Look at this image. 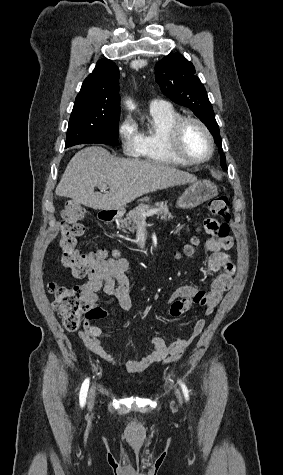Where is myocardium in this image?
I'll list each match as a JSON object with an SVG mask.
<instances>
[{
  "mask_svg": "<svg viewBox=\"0 0 283 475\" xmlns=\"http://www.w3.org/2000/svg\"><path fill=\"white\" fill-rule=\"evenodd\" d=\"M188 123H194L198 125L200 129L203 131L209 143V152L206 156L202 158H189V157L173 158L166 153L165 145L168 142L178 144L181 141V135H182L183 129L185 125ZM158 150L161 157L164 159L165 162H206L210 160L215 153V142H214L212 133L210 132V130L208 129V127L205 125V123L202 120L195 117L182 116L178 118L177 120H175L168 127L167 135L164 139L160 141L158 145Z\"/></svg>",
  "mask_w": 283,
  "mask_h": 475,
  "instance_id": "1",
  "label": "myocardium"
}]
</instances>
